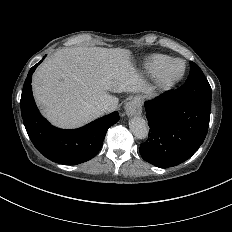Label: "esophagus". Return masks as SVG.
Here are the masks:
<instances>
[{
	"mask_svg": "<svg viewBox=\"0 0 232 232\" xmlns=\"http://www.w3.org/2000/svg\"><path fill=\"white\" fill-rule=\"evenodd\" d=\"M124 109L128 116L140 115L142 113L141 98L135 96L125 104Z\"/></svg>",
	"mask_w": 232,
	"mask_h": 232,
	"instance_id": "1",
	"label": "esophagus"
}]
</instances>
